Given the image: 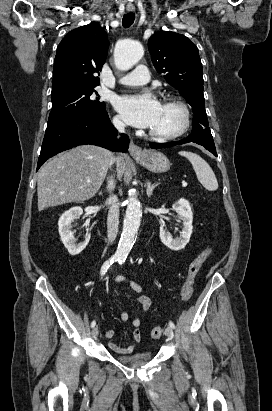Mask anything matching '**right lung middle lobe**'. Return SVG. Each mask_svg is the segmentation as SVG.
Instances as JSON below:
<instances>
[{"label":"right lung middle lobe","mask_w":272,"mask_h":411,"mask_svg":"<svg viewBox=\"0 0 272 411\" xmlns=\"http://www.w3.org/2000/svg\"><path fill=\"white\" fill-rule=\"evenodd\" d=\"M94 93V87H86L52 98L48 124L73 115L105 112V103L100 102L99 97H95Z\"/></svg>","instance_id":"dd1d6c3e"}]
</instances>
